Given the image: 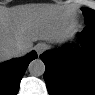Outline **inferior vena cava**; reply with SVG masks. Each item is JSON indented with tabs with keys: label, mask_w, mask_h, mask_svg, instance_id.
<instances>
[{
	"label": "inferior vena cava",
	"mask_w": 95,
	"mask_h": 95,
	"mask_svg": "<svg viewBox=\"0 0 95 95\" xmlns=\"http://www.w3.org/2000/svg\"><path fill=\"white\" fill-rule=\"evenodd\" d=\"M25 53V48L21 45H16L13 49H12V54L14 55V57H19L24 55Z\"/></svg>",
	"instance_id": "inferior-vena-cava-1"
}]
</instances>
